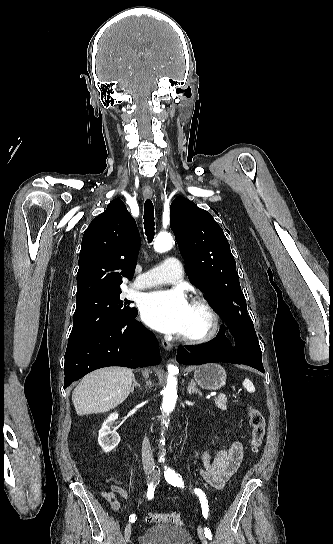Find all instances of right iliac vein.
Returning <instances> with one entry per match:
<instances>
[{
	"mask_svg": "<svg viewBox=\"0 0 333 544\" xmlns=\"http://www.w3.org/2000/svg\"><path fill=\"white\" fill-rule=\"evenodd\" d=\"M146 473L149 474L150 473V470H146ZM131 529H132V526L130 523H128L125 527V530H124V536H125V541L126 542H129L130 540V536H131Z\"/></svg>",
	"mask_w": 333,
	"mask_h": 544,
	"instance_id": "1",
	"label": "right iliac vein"
}]
</instances>
